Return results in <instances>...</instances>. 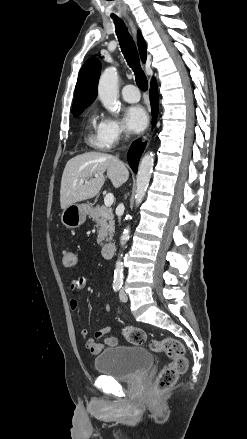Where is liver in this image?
Wrapping results in <instances>:
<instances>
[{"mask_svg":"<svg viewBox=\"0 0 247 439\" xmlns=\"http://www.w3.org/2000/svg\"><path fill=\"white\" fill-rule=\"evenodd\" d=\"M105 171L116 188L129 177L125 164L110 154L88 152L70 159L61 179V208L96 196L105 182Z\"/></svg>","mask_w":247,"mask_h":439,"instance_id":"1","label":"liver"}]
</instances>
